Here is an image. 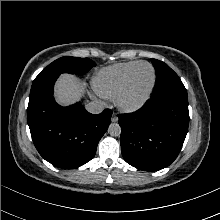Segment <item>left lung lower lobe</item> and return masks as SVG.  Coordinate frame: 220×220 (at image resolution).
<instances>
[{"mask_svg": "<svg viewBox=\"0 0 220 220\" xmlns=\"http://www.w3.org/2000/svg\"><path fill=\"white\" fill-rule=\"evenodd\" d=\"M124 160L143 171H158L178 156L188 125V102L151 97L133 113L119 114Z\"/></svg>", "mask_w": 220, "mask_h": 220, "instance_id": "1", "label": "left lung lower lobe"}]
</instances>
